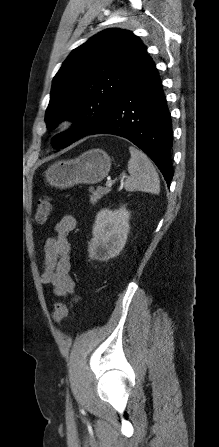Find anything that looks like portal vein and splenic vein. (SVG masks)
I'll use <instances>...</instances> for the list:
<instances>
[{
    "label": "portal vein and splenic vein",
    "mask_w": 219,
    "mask_h": 447,
    "mask_svg": "<svg viewBox=\"0 0 219 447\" xmlns=\"http://www.w3.org/2000/svg\"><path fill=\"white\" fill-rule=\"evenodd\" d=\"M126 177V175H122V178H125ZM113 181L112 180H107V182H106V187L107 188H111L112 187V185H113Z\"/></svg>",
    "instance_id": "portal-vein-and-splenic-vein-1"
}]
</instances>
